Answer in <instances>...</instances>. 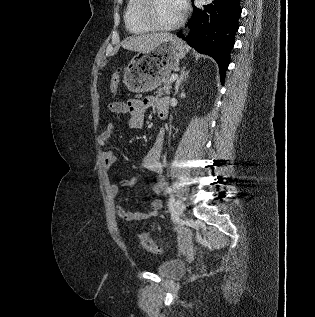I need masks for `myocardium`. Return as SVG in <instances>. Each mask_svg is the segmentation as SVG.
<instances>
[{
	"instance_id": "1",
	"label": "myocardium",
	"mask_w": 315,
	"mask_h": 317,
	"mask_svg": "<svg viewBox=\"0 0 315 317\" xmlns=\"http://www.w3.org/2000/svg\"><path fill=\"white\" fill-rule=\"evenodd\" d=\"M155 0H142L139 7V19L140 21L149 29L157 30V31H169L178 28L184 22V15L181 16L175 22L167 25H162L157 23L153 16L152 10L154 6Z\"/></svg>"
}]
</instances>
